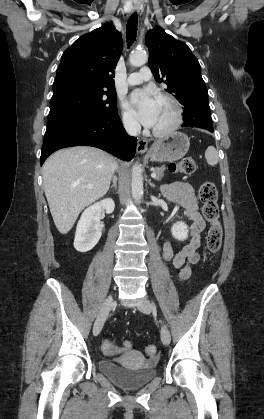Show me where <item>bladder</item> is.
Listing matches in <instances>:
<instances>
[{"mask_svg":"<svg viewBox=\"0 0 264 419\" xmlns=\"http://www.w3.org/2000/svg\"><path fill=\"white\" fill-rule=\"evenodd\" d=\"M98 368L102 374L124 389L140 388L156 376V369L152 365L128 368L103 359L98 362Z\"/></svg>","mask_w":264,"mask_h":419,"instance_id":"obj_1","label":"bladder"}]
</instances>
